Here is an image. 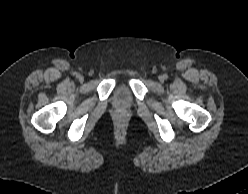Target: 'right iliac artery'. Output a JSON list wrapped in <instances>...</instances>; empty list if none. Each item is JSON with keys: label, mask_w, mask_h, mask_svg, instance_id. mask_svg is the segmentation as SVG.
Instances as JSON below:
<instances>
[{"label": "right iliac artery", "mask_w": 248, "mask_h": 194, "mask_svg": "<svg viewBox=\"0 0 248 194\" xmlns=\"http://www.w3.org/2000/svg\"><path fill=\"white\" fill-rule=\"evenodd\" d=\"M79 76H80V74L76 73V77H79Z\"/></svg>", "instance_id": "82829eb1"}]
</instances>
